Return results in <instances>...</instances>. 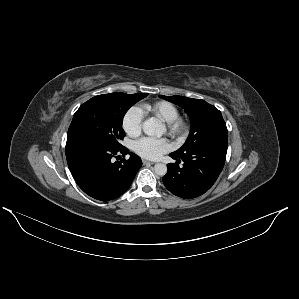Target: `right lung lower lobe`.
<instances>
[{"mask_svg":"<svg viewBox=\"0 0 299 299\" xmlns=\"http://www.w3.org/2000/svg\"><path fill=\"white\" fill-rule=\"evenodd\" d=\"M65 152L75 182L86 194L101 201L122 195L142 166L140 157L134 153L127 160L114 161L116 155L127 154L129 150L97 140L67 142Z\"/></svg>","mask_w":299,"mask_h":299,"instance_id":"right-lung-lower-lobe-1","label":"right lung lower lobe"}]
</instances>
